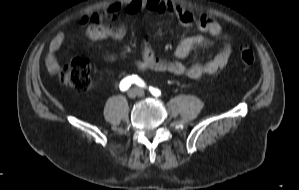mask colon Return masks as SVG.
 Masks as SVG:
<instances>
[{
	"mask_svg": "<svg viewBox=\"0 0 299 190\" xmlns=\"http://www.w3.org/2000/svg\"><path fill=\"white\" fill-rule=\"evenodd\" d=\"M254 53L249 47H243L240 52V60L245 66H251L254 63ZM61 81L73 87L79 92L90 89L92 77L90 64L86 58L76 57L66 65L60 74Z\"/></svg>",
	"mask_w": 299,
	"mask_h": 190,
	"instance_id": "colon-1",
	"label": "colon"
}]
</instances>
